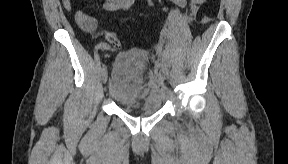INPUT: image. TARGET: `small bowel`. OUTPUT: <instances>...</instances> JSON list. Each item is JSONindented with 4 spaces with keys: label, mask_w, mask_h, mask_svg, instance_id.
Wrapping results in <instances>:
<instances>
[{
    "label": "small bowel",
    "mask_w": 288,
    "mask_h": 164,
    "mask_svg": "<svg viewBox=\"0 0 288 164\" xmlns=\"http://www.w3.org/2000/svg\"><path fill=\"white\" fill-rule=\"evenodd\" d=\"M104 8L107 9V10H113V9H116L117 8V2L116 1H110V2H106L104 4ZM79 15H84L87 17V19L89 20L90 22V25L85 27L86 30H91L93 27H92V24H93V19L91 17H89L88 15H86L85 13L81 12V11H78L75 15V18Z\"/></svg>",
    "instance_id": "c3829d8e"
}]
</instances>
